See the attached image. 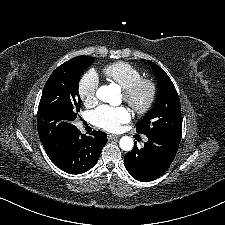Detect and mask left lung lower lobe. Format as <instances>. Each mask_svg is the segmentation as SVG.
Returning a JSON list of instances; mask_svg holds the SVG:
<instances>
[{
    "mask_svg": "<svg viewBox=\"0 0 225 225\" xmlns=\"http://www.w3.org/2000/svg\"><path fill=\"white\" fill-rule=\"evenodd\" d=\"M142 149L125 155V168L136 180L149 182L164 174L173 162L179 143L167 137H148Z\"/></svg>",
    "mask_w": 225,
    "mask_h": 225,
    "instance_id": "left-lung-lower-lobe-1",
    "label": "left lung lower lobe"
}]
</instances>
